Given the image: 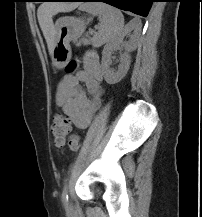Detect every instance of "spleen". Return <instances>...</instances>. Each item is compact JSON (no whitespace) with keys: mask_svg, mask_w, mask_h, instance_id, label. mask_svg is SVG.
<instances>
[{"mask_svg":"<svg viewBox=\"0 0 202 217\" xmlns=\"http://www.w3.org/2000/svg\"><path fill=\"white\" fill-rule=\"evenodd\" d=\"M79 9L100 18L99 30L92 38L95 47L110 42L124 29V17L117 8L105 3H85Z\"/></svg>","mask_w":202,"mask_h":217,"instance_id":"spleen-1","label":"spleen"}]
</instances>
